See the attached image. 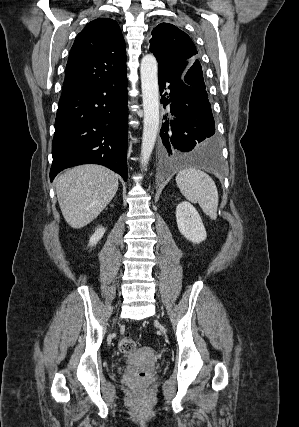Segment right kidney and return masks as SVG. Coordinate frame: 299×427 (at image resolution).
Listing matches in <instances>:
<instances>
[{"instance_id": "obj_1", "label": "right kidney", "mask_w": 299, "mask_h": 427, "mask_svg": "<svg viewBox=\"0 0 299 427\" xmlns=\"http://www.w3.org/2000/svg\"><path fill=\"white\" fill-rule=\"evenodd\" d=\"M104 233H105V228L98 227L95 230V233L90 237L89 245L90 246L96 245L98 241L103 237Z\"/></svg>"}]
</instances>
